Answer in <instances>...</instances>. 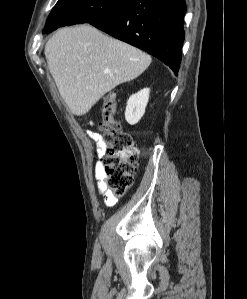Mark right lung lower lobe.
I'll return each instance as SVG.
<instances>
[{"instance_id": "obj_1", "label": "right lung lower lobe", "mask_w": 247, "mask_h": 299, "mask_svg": "<svg viewBox=\"0 0 247 299\" xmlns=\"http://www.w3.org/2000/svg\"><path fill=\"white\" fill-rule=\"evenodd\" d=\"M185 12V0H130L121 9L90 24L157 57L177 73Z\"/></svg>"}]
</instances>
